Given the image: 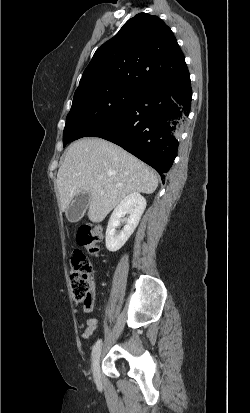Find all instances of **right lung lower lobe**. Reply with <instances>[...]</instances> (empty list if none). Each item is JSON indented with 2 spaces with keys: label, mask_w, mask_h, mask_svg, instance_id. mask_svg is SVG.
<instances>
[{
  "label": "right lung lower lobe",
  "mask_w": 250,
  "mask_h": 413,
  "mask_svg": "<svg viewBox=\"0 0 250 413\" xmlns=\"http://www.w3.org/2000/svg\"><path fill=\"white\" fill-rule=\"evenodd\" d=\"M190 76L178 84L142 90L117 116L86 137L111 141L135 155L164 178L177 155L178 139L190 112Z\"/></svg>",
  "instance_id": "98d812e1"
}]
</instances>
